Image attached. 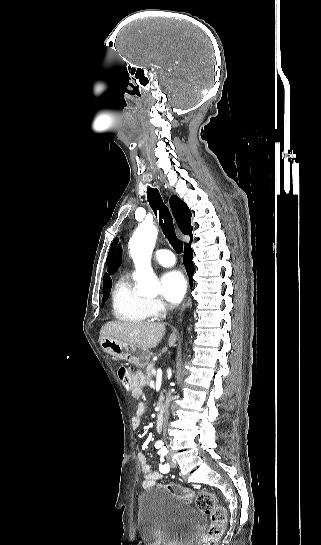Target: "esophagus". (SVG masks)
Returning a JSON list of instances; mask_svg holds the SVG:
<instances>
[{
    "instance_id": "1",
    "label": "esophagus",
    "mask_w": 321,
    "mask_h": 545,
    "mask_svg": "<svg viewBox=\"0 0 321 545\" xmlns=\"http://www.w3.org/2000/svg\"><path fill=\"white\" fill-rule=\"evenodd\" d=\"M184 307H185V303H183L182 310L184 309Z\"/></svg>"
}]
</instances>
